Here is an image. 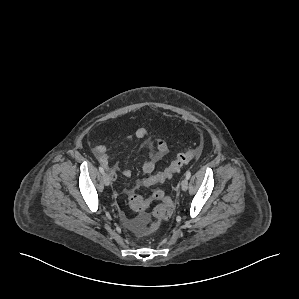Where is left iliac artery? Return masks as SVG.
<instances>
[{"label":"left iliac artery","mask_w":299,"mask_h":299,"mask_svg":"<svg viewBox=\"0 0 299 299\" xmlns=\"http://www.w3.org/2000/svg\"><path fill=\"white\" fill-rule=\"evenodd\" d=\"M185 176H186L187 179H189L190 176H191V172H190V171H187Z\"/></svg>","instance_id":"obj_1"}]
</instances>
